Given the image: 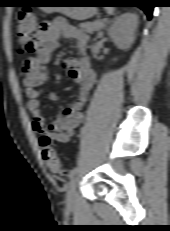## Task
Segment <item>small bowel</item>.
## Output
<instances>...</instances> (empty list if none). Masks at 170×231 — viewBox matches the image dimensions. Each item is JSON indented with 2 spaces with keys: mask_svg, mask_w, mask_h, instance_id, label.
<instances>
[{
  "mask_svg": "<svg viewBox=\"0 0 170 231\" xmlns=\"http://www.w3.org/2000/svg\"><path fill=\"white\" fill-rule=\"evenodd\" d=\"M37 38L35 56L27 59L23 65V85L28 98L27 109L32 118L31 126L36 133L46 134L58 142L65 143L82 122V109L95 83V74L86 56L88 37L66 20L56 18L41 24ZM63 39H73L80 53L79 58L69 59L64 63L70 78L79 85V90L77 98L63 107L55 121L47 127L40 109L41 88L48 79L45 65ZM49 99L57 101L59 96L50 93Z\"/></svg>",
  "mask_w": 170,
  "mask_h": 231,
  "instance_id": "obj_1",
  "label": "small bowel"
}]
</instances>
